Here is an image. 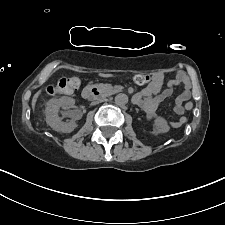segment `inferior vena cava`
Masks as SVG:
<instances>
[{
    "label": "inferior vena cava",
    "mask_w": 225,
    "mask_h": 225,
    "mask_svg": "<svg viewBox=\"0 0 225 225\" xmlns=\"http://www.w3.org/2000/svg\"><path fill=\"white\" fill-rule=\"evenodd\" d=\"M102 101H103L102 98H97V99H95V100L92 102V104L95 105V104H98V103H100V102H102Z\"/></svg>",
    "instance_id": "602c4592"
}]
</instances>
